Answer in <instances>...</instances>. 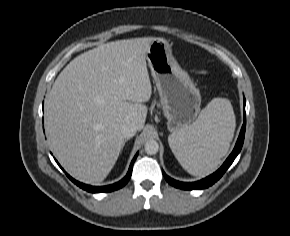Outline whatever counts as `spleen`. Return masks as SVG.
Returning <instances> with one entry per match:
<instances>
[{
    "label": "spleen",
    "instance_id": "obj_1",
    "mask_svg": "<svg viewBox=\"0 0 290 236\" xmlns=\"http://www.w3.org/2000/svg\"><path fill=\"white\" fill-rule=\"evenodd\" d=\"M235 115L228 99L214 98L197 120L168 137L169 146L181 166L191 175L213 173L228 152L235 131Z\"/></svg>",
    "mask_w": 290,
    "mask_h": 236
}]
</instances>
